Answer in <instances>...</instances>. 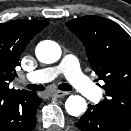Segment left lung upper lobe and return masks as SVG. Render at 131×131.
Instances as JSON below:
<instances>
[{
  "mask_svg": "<svg viewBox=\"0 0 131 131\" xmlns=\"http://www.w3.org/2000/svg\"><path fill=\"white\" fill-rule=\"evenodd\" d=\"M83 43L91 68L103 80L106 98L97 105L131 126V37L117 23L99 16L66 22Z\"/></svg>",
  "mask_w": 131,
  "mask_h": 131,
  "instance_id": "1",
  "label": "left lung upper lobe"
}]
</instances>
